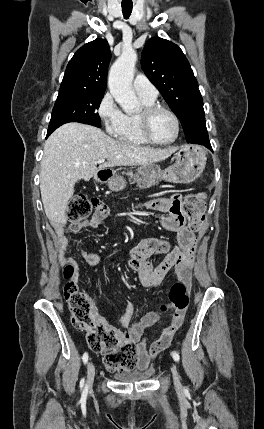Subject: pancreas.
Returning <instances> with one entry per match:
<instances>
[{"label":"pancreas","mask_w":264,"mask_h":429,"mask_svg":"<svg viewBox=\"0 0 264 429\" xmlns=\"http://www.w3.org/2000/svg\"><path fill=\"white\" fill-rule=\"evenodd\" d=\"M125 174L130 176V179L133 180V182H136L140 189L149 188L159 183V180L143 178L137 174H133L132 172H127Z\"/></svg>","instance_id":"1"}]
</instances>
